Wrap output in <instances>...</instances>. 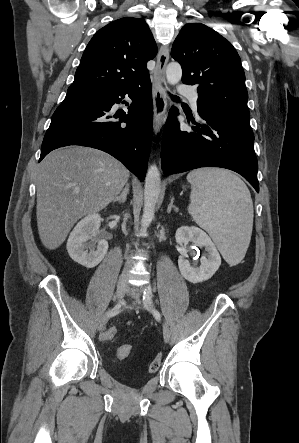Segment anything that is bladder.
<instances>
[{
    "label": "bladder",
    "mask_w": 299,
    "mask_h": 443,
    "mask_svg": "<svg viewBox=\"0 0 299 443\" xmlns=\"http://www.w3.org/2000/svg\"><path fill=\"white\" fill-rule=\"evenodd\" d=\"M121 378L129 383H137L141 380V376L135 373H124Z\"/></svg>",
    "instance_id": "31cf9c89"
}]
</instances>
